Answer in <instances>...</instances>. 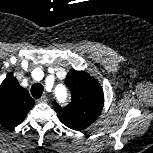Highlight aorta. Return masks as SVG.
<instances>
[{
  "label": "aorta",
  "mask_w": 153,
  "mask_h": 153,
  "mask_svg": "<svg viewBox=\"0 0 153 153\" xmlns=\"http://www.w3.org/2000/svg\"><path fill=\"white\" fill-rule=\"evenodd\" d=\"M56 95L59 98H64L66 96V89L63 86H59L56 89Z\"/></svg>",
  "instance_id": "762f6f07"
}]
</instances>
